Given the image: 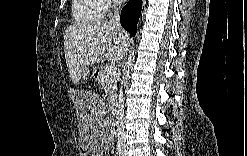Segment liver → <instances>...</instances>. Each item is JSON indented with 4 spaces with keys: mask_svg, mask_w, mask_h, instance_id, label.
I'll return each mask as SVG.
<instances>
[{
    "mask_svg": "<svg viewBox=\"0 0 247 156\" xmlns=\"http://www.w3.org/2000/svg\"><path fill=\"white\" fill-rule=\"evenodd\" d=\"M130 43L128 33L110 21L75 23L64 33V52L67 68L74 84L83 71L106 59L118 62Z\"/></svg>",
    "mask_w": 247,
    "mask_h": 156,
    "instance_id": "liver-1",
    "label": "liver"
}]
</instances>
